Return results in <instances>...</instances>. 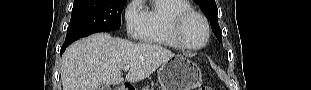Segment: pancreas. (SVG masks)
Segmentation results:
<instances>
[{
	"mask_svg": "<svg viewBox=\"0 0 311 90\" xmlns=\"http://www.w3.org/2000/svg\"><path fill=\"white\" fill-rule=\"evenodd\" d=\"M144 90H153V88H149L148 86L146 88H144Z\"/></svg>",
	"mask_w": 311,
	"mask_h": 90,
	"instance_id": "obj_1",
	"label": "pancreas"
}]
</instances>
